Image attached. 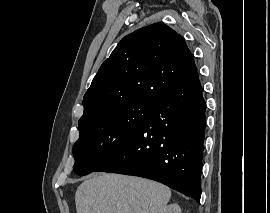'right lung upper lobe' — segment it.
Listing matches in <instances>:
<instances>
[{
    "mask_svg": "<svg viewBox=\"0 0 270 213\" xmlns=\"http://www.w3.org/2000/svg\"><path fill=\"white\" fill-rule=\"evenodd\" d=\"M197 71L184 38L163 23L125 36L84 95L79 122L134 101L157 103Z\"/></svg>",
    "mask_w": 270,
    "mask_h": 213,
    "instance_id": "1",
    "label": "right lung upper lobe"
}]
</instances>
